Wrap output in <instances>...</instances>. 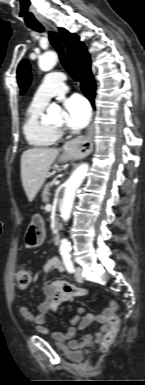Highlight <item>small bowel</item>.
<instances>
[{"label":"small bowel","instance_id":"obj_1","mask_svg":"<svg viewBox=\"0 0 145 385\" xmlns=\"http://www.w3.org/2000/svg\"><path fill=\"white\" fill-rule=\"evenodd\" d=\"M42 269L44 272H48L51 269H57L60 272L64 271L63 264L57 257L48 259ZM60 284H66L70 287L75 286L61 281L46 284L43 286L44 301L38 306L37 313H33L26 306L19 307V314L21 317L25 320L33 322L41 334L48 333L45 322L49 312H55L63 302L72 301L75 296H82L86 294V289L79 286H75L78 288V293L76 294L64 293L58 288ZM107 316V310L94 315L91 313H85L83 308H79L77 315L70 319V326L68 329L65 332H54L53 337L58 342L69 341V347L72 350H78L82 347L88 346L92 342H99L109 329ZM94 321L100 324L97 332L85 335L80 341L73 340L77 331L84 330Z\"/></svg>","mask_w":145,"mask_h":385}]
</instances>
